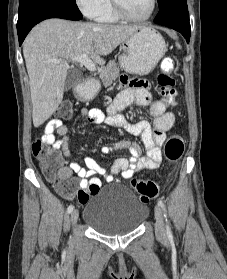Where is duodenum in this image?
Wrapping results in <instances>:
<instances>
[{
  "mask_svg": "<svg viewBox=\"0 0 227 279\" xmlns=\"http://www.w3.org/2000/svg\"><path fill=\"white\" fill-rule=\"evenodd\" d=\"M75 98L79 101L87 102L89 99L84 94V86L83 82L81 81L79 85L75 88L74 92Z\"/></svg>",
  "mask_w": 227,
  "mask_h": 279,
  "instance_id": "410a0bca",
  "label": "duodenum"
}]
</instances>
